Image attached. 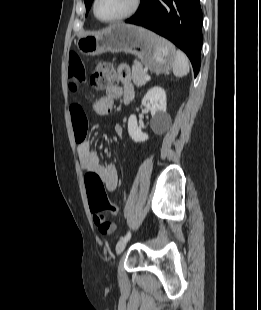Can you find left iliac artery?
Segmentation results:
<instances>
[{"instance_id":"1","label":"left iliac artery","mask_w":261,"mask_h":310,"mask_svg":"<svg viewBox=\"0 0 261 310\" xmlns=\"http://www.w3.org/2000/svg\"><path fill=\"white\" fill-rule=\"evenodd\" d=\"M131 237V233L128 232L124 237H122L125 241L129 240Z\"/></svg>"}]
</instances>
